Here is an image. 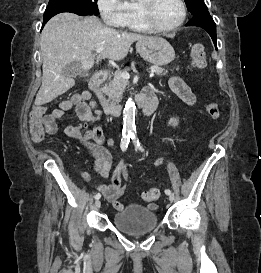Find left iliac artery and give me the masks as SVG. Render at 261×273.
I'll return each instance as SVG.
<instances>
[{"instance_id":"44dca946","label":"left iliac artery","mask_w":261,"mask_h":273,"mask_svg":"<svg viewBox=\"0 0 261 273\" xmlns=\"http://www.w3.org/2000/svg\"><path fill=\"white\" fill-rule=\"evenodd\" d=\"M131 138H132L133 143H134V145L136 146V148H138V149L141 150V151H144V149L140 146L139 140H138V138H137V136H136V130H135V129H132V130H131ZM165 193H166L167 195L171 194L170 189H166V190H165Z\"/></svg>"}]
</instances>
